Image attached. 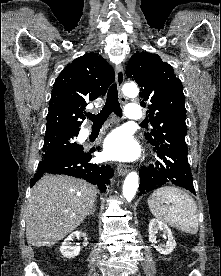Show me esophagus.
<instances>
[{
	"mask_svg": "<svg viewBox=\"0 0 221 276\" xmlns=\"http://www.w3.org/2000/svg\"><path fill=\"white\" fill-rule=\"evenodd\" d=\"M124 83V71L121 66L116 67V84L118 87L119 98L122 103H125L126 99L122 94V86ZM130 171V166L126 164H119L117 167V172L119 175H126Z\"/></svg>",
	"mask_w": 221,
	"mask_h": 276,
	"instance_id": "1",
	"label": "esophagus"
}]
</instances>
